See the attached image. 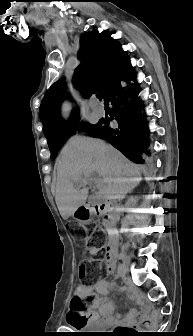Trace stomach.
I'll return each instance as SVG.
<instances>
[{"label": "stomach", "mask_w": 193, "mask_h": 336, "mask_svg": "<svg viewBox=\"0 0 193 336\" xmlns=\"http://www.w3.org/2000/svg\"><path fill=\"white\" fill-rule=\"evenodd\" d=\"M73 218L81 223H89L94 216L93 210L89 206H80L72 214Z\"/></svg>", "instance_id": "0dacf381"}]
</instances>
